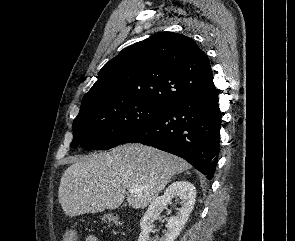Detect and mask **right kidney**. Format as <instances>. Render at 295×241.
<instances>
[{
  "mask_svg": "<svg viewBox=\"0 0 295 241\" xmlns=\"http://www.w3.org/2000/svg\"><path fill=\"white\" fill-rule=\"evenodd\" d=\"M173 198L181 200V208L176 216H171L168 219L167 231L159 241H174L178 237L193 210L196 198L194 185L185 180L173 182L166 188L163 195L152 201L140 221L141 233L138 241H151L150 233L154 228V221Z\"/></svg>",
  "mask_w": 295,
  "mask_h": 241,
  "instance_id": "obj_1",
  "label": "right kidney"
}]
</instances>
